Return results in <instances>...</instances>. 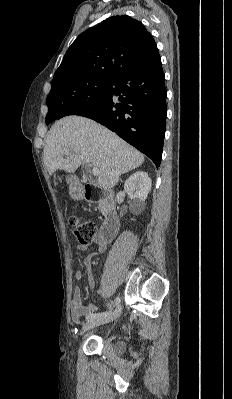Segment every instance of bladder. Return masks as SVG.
Segmentation results:
<instances>
[{
    "label": "bladder",
    "instance_id": "bladder-1",
    "mask_svg": "<svg viewBox=\"0 0 232 399\" xmlns=\"http://www.w3.org/2000/svg\"><path fill=\"white\" fill-rule=\"evenodd\" d=\"M124 350V343L122 341H115L108 347V351L112 355H119Z\"/></svg>",
    "mask_w": 232,
    "mask_h": 399
}]
</instances>
